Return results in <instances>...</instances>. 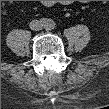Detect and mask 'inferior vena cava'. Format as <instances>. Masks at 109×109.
<instances>
[{"label": "inferior vena cava", "mask_w": 109, "mask_h": 109, "mask_svg": "<svg viewBox=\"0 0 109 109\" xmlns=\"http://www.w3.org/2000/svg\"><path fill=\"white\" fill-rule=\"evenodd\" d=\"M29 26L32 30L38 31L42 29L43 24L38 20H32Z\"/></svg>", "instance_id": "602c4592"}]
</instances>
